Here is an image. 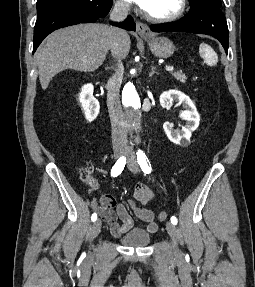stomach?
Instances as JSON below:
<instances>
[{"mask_svg": "<svg viewBox=\"0 0 255 287\" xmlns=\"http://www.w3.org/2000/svg\"><path fill=\"white\" fill-rule=\"evenodd\" d=\"M149 44V48L156 56V58H170L172 56L175 48L168 40V38H154V36H147V38H143Z\"/></svg>", "mask_w": 255, "mask_h": 287, "instance_id": "0dacf381", "label": "stomach"}]
</instances>
